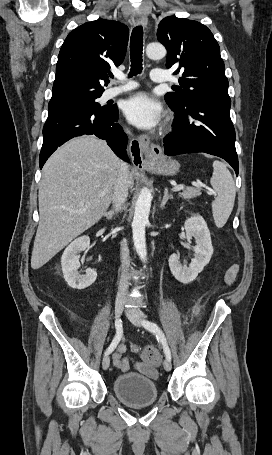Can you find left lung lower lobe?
<instances>
[{
  "instance_id": "obj_1",
  "label": "left lung lower lobe",
  "mask_w": 272,
  "mask_h": 455,
  "mask_svg": "<svg viewBox=\"0 0 272 455\" xmlns=\"http://www.w3.org/2000/svg\"><path fill=\"white\" fill-rule=\"evenodd\" d=\"M228 97H205L179 110L173 132L164 139L168 156L205 152L225 159L238 175L235 129Z\"/></svg>"
}]
</instances>
